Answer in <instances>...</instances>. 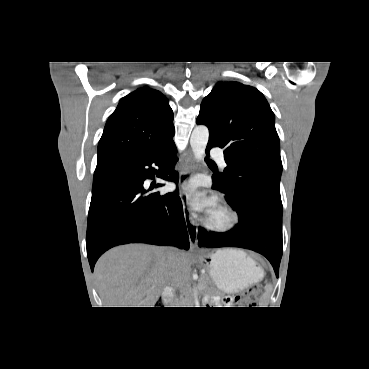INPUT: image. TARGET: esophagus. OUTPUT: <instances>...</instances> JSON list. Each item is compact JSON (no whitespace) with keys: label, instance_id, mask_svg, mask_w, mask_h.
<instances>
[{"label":"esophagus","instance_id":"obj_1","mask_svg":"<svg viewBox=\"0 0 369 369\" xmlns=\"http://www.w3.org/2000/svg\"><path fill=\"white\" fill-rule=\"evenodd\" d=\"M194 169V159L191 154H189L182 164L180 173H179V185H180V198L183 207V213L185 218V223L187 227V233L190 241L191 250L197 247V237L198 230L196 227V223L191 215V211L188 207V196L186 192L185 185L190 178L191 172Z\"/></svg>","mask_w":369,"mask_h":369}]
</instances>
